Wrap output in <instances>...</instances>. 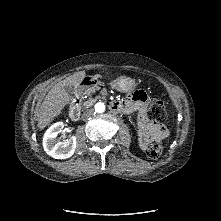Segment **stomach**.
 <instances>
[{"label":"stomach","mask_w":221,"mask_h":221,"mask_svg":"<svg viewBox=\"0 0 221 221\" xmlns=\"http://www.w3.org/2000/svg\"><path fill=\"white\" fill-rule=\"evenodd\" d=\"M90 80L95 81L96 78L90 77ZM136 85L137 83L134 79L126 76H121L112 82V86L114 88L125 93H131L135 89Z\"/></svg>","instance_id":"1"}]
</instances>
